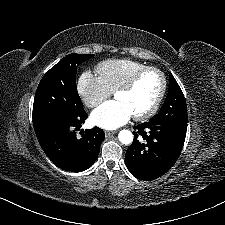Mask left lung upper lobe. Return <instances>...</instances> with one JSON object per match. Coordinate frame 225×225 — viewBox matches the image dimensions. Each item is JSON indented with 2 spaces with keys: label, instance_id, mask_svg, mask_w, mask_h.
I'll return each instance as SVG.
<instances>
[{
  "label": "left lung upper lobe",
  "instance_id": "5c2ea615",
  "mask_svg": "<svg viewBox=\"0 0 225 225\" xmlns=\"http://www.w3.org/2000/svg\"><path fill=\"white\" fill-rule=\"evenodd\" d=\"M154 123L187 125V107L184 95L172 74H170L169 93L157 115L151 118Z\"/></svg>",
  "mask_w": 225,
  "mask_h": 225
}]
</instances>
